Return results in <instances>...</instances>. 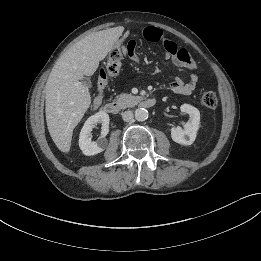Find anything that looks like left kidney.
Masks as SVG:
<instances>
[{"mask_svg": "<svg viewBox=\"0 0 261 261\" xmlns=\"http://www.w3.org/2000/svg\"><path fill=\"white\" fill-rule=\"evenodd\" d=\"M181 112L189 114V120L184 125V129L180 127L170 128L173 141L181 145H191L195 139L200 124V112L197 108L189 104H183L180 107Z\"/></svg>", "mask_w": 261, "mask_h": 261, "instance_id": "left-kidney-1", "label": "left kidney"}]
</instances>
